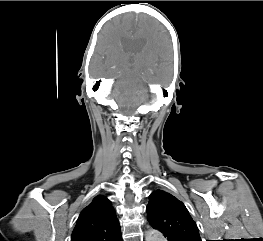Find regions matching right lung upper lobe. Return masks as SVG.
I'll return each mask as SVG.
<instances>
[{"instance_id": "cb5924a9", "label": "right lung upper lobe", "mask_w": 263, "mask_h": 241, "mask_svg": "<svg viewBox=\"0 0 263 241\" xmlns=\"http://www.w3.org/2000/svg\"><path fill=\"white\" fill-rule=\"evenodd\" d=\"M71 241H122L119 221L107 198L96 196L82 210Z\"/></svg>"}]
</instances>
